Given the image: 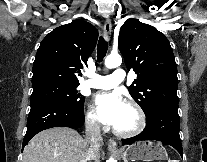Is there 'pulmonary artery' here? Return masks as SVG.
<instances>
[{
    "instance_id": "e3ab8cb5",
    "label": "pulmonary artery",
    "mask_w": 207,
    "mask_h": 162,
    "mask_svg": "<svg viewBox=\"0 0 207 162\" xmlns=\"http://www.w3.org/2000/svg\"><path fill=\"white\" fill-rule=\"evenodd\" d=\"M88 76H90L91 79L86 81V86L96 89H112L124 80L125 73L123 70L117 69L112 74L106 76L93 73H88Z\"/></svg>"
}]
</instances>
